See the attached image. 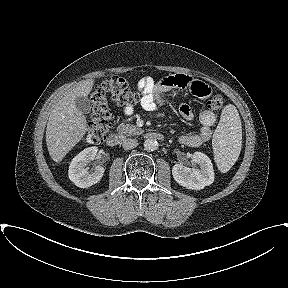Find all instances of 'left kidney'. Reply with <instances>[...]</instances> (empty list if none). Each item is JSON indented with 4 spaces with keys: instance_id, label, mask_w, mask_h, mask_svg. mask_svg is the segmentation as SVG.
<instances>
[{
    "instance_id": "5707ae66",
    "label": "left kidney",
    "mask_w": 288,
    "mask_h": 288,
    "mask_svg": "<svg viewBox=\"0 0 288 288\" xmlns=\"http://www.w3.org/2000/svg\"><path fill=\"white\" fill-rule=\"evenodd\" d=\"M192 162L199 166L198 169L189 168L183 164H175L172 168L174 180L181 186L200 190L214 181V170L210 158L202 152H194Z\"/></svg>"
}]
</instances>
